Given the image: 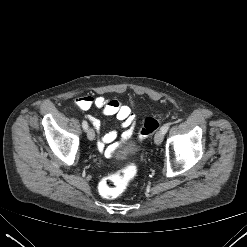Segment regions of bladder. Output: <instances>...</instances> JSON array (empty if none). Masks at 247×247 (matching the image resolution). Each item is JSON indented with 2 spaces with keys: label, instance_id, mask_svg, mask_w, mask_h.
Wrapping results in <instances>:
<instances>
[{
  "label": "bladder",
  "instance_id": "obj_1",
  "mask_svg": "<svg viewBox=\"0 0 247 247\" xmlns=\"http://www.w3.org/2000/svg\"><path fill=\"white\" fill-rule=\"evenodd\" d=\"M136 147L131 140H127L115 153V157L118 159L125 158L134 153Z\"/></svg>",
  "mask_w": 247,
  "mask_h": 247
}]
</instances>
